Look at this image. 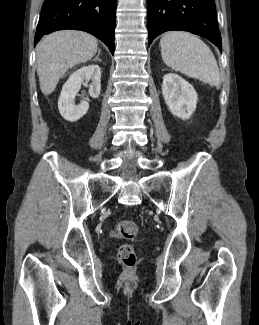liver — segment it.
<instances>
[{"mask_svg": "<svg viewBox=\"0 0 259 325\" xmlns=\"http://www.w3.org/2000/svg\"><path fill=\"white\" fill-rule=\"evenodd\" d=\"M97 40L82 31L63 30L47 35L37 46V74L41 92L51 94L65 72L91 60Z\"/></svg>", "mask_w": 259, "mask_h": 325, "instance_id": "liver-1", "label": "liver"}]
</instances>
